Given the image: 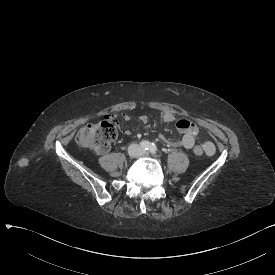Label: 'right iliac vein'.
I'll use <instances>...</instances> for the list:
<instances>
[{"mask_svg":"<svg viewBox=\"0 0 275 275\" xmlns=\"http://www.w3.org/2000/svg\"><path fill=\"white\" fill-rule=\"evenodd\" d=\"M138 153V147L136 145H131L128 149V154L130 157H134Z\"/></svg>","mask_w":275,"mask_h":275,"instance_id":"1","label":"right iliac vein"}]
</instances>
